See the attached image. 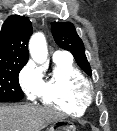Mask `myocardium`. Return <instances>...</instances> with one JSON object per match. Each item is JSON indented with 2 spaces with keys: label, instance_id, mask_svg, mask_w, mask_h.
Masks as SVG:
<instances>
[{
  "label": "myocardium",
  "instance_id": "1",
  "mask_svg": "<svg viewBox=\"0 0 117 131\" xmlns=\"http://www.w3.org/2000/svg\"><path fill=\"white\" fill-rule=\"evenodd\" d=\"M83 90L92 98L94 96V88L93 86L87 81L84 85Z\"/></svg>",
  "mask_w": 117,
  "mask_h": 131
}]
</instances>
